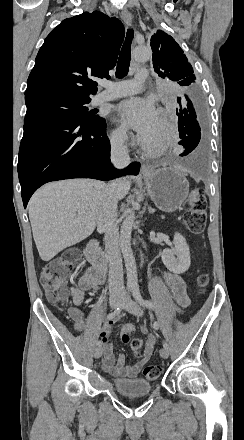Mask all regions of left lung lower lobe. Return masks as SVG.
<instances>
[{"instance_id":"1","label":"left lung lower lobe","mask_w":244,"mask_h":440,"mask_svg":"<svg viewBox=\"0 0 244 440\" xmlns=\"http://www.w3.org/2000/svg\"><path fill=\"white\" fill-rule=\"evenodd\" d=\"M177 102L180 105V109H176L179 118L178 129L182 139L178 144L185 147V151L180 154V156H185L196 148L201 138L199 125L201 107L193 89L188 90L182 97H178Z\"/></svg>"}]
</instances>
